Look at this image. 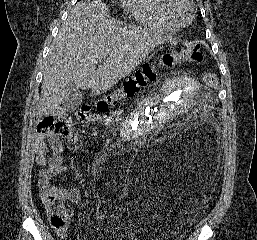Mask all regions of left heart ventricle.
Masks as SVG:
<instances>
[{"label":"left heart ventricle","mask_w":257,"mask_h":240,"mask_svg":"<svg viewBox=\"0 0 257 240\" xmlns=\"http://www.w3.org/2000/svg\"><path fill=\"white\" fill-rule=\"evenodd\" d=\"M172 11L179 21L185 22L190 16L191 8L186 2L177 1L173 4Z\"/></svg>","instance_id":"left-heart-ventricle-1"}]
</instances>
